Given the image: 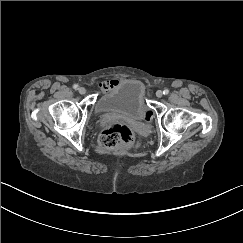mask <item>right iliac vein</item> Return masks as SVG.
Returning a JSON list of instances; mask_svg holds the SVG:
<instances>
[{
    "label": "right iliac vein",
    "mask_w": 243,
    "mask_h": 243,
    "mask_svg": "<svg viewBox=\"0 0 243 243\" xmlns=\"http://www.w3.org/2000/svg\"><path fill=\"white\" fill-rule=\"evenodd\" d=\"M78 91L82 95L86 93V89L84 87H80Z\"/></svg>",
    "instance_id": "obj_1"
}]
</instances>
